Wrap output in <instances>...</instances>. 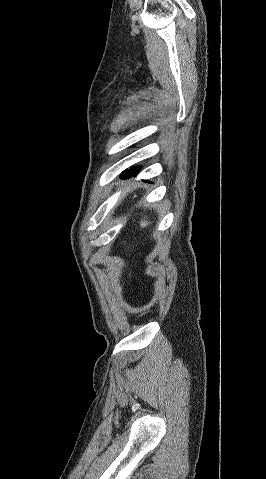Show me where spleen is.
Here are the masks:
<instances>
[{
	"label": "spleen",
	"instance_id": "1",
	"mask_svg": "<svg viewBox=\"0 0 266 479\" xmlns=\"http://www.w3.org/2000/svg\"><path fill=\"white\" fill-rule=\"evenodd\" d=\"M147 225H148V222H147V221H143V220H142V221L140 222V226H141V227H146Z\"/></svg>",
	"mask_w": 266,
	"mask_h": 479
}]
</instances>
